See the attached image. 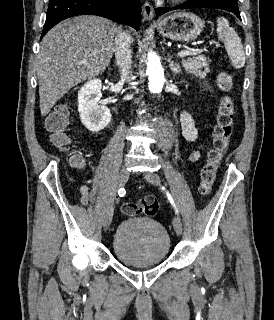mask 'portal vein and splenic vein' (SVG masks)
<instances>
[{
	"label": "portal vein and splenic vein",
	"instance_id": "portal-vein-and-splenic-vein-1",
	"mask_svg": "<svg viewBox=\"0 0 274 320\" xmlns=\"http://www.w3.org/2000/svg\"><path fill=\"white\" fill-rule=\"evenodd\" d=\"M191 52H188V50H184V52H178L179 58H184V56H190Z\"/></svg>",
	"mask_w": 274,
	"mask_h": 320
}]
</instances>
